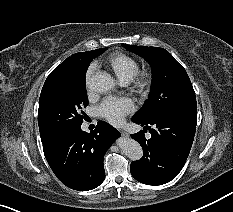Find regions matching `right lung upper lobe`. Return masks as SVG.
<instances>
[{"instance_id":"obj_1","label":"right lung upper lobe","mask_w":233,"mask_h":212,"mask_svg":"<svg viewBox=\"0 0 233 212\" xmlns=\"http://www.w3.org/2000/svg\"><path fill=\"white\" fill-rule=\"evenodd\" d=\"M92 51H88V52H80V53H76L73 54L71 57H68L63 63H61L59 66H57L52 72L56 73L59 72L61 70L64 69H68L78 63H85L88 62L90 57H91ZM45 146V145H43Z\"/></svg>"}]
</instances>
